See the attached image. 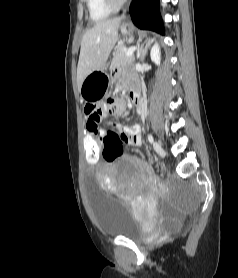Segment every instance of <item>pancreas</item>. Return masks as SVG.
<instances>
[{"label": "pancreas", "instance_id": "obj_1", "mask_svg": "<svg viewBox=\"0 0 238 278\" xmlns=\"http://www.w3.org/2000/svg\"><path fill=\"white\" fill-rule=\"evenodd\" d=\"M127 49L125 46H120L116 49L113 54L112 68H118L120 66L132 63L134 61V56H126Z\"/></svg>", "mask_w": 238, "mask_h": 278}]
</instances>
